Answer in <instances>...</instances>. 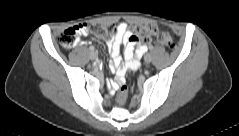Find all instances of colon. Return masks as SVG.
<instances>
[{"label":"colon","mask_w":239,"mask_h":136,"mask_svg":"<svg viewBox=\"0 0 239 136\" xmlns=\"http://www.w3.org/2000/svg\"><path fill=\"white\" fill-rule=\"evenodd\" d=\"M115 32L113 24H78L63 31L59 41L63 47L70 48L77 44L82 35L91 34L99 38H111ZM134 40L151 42L156 41L169 49L175 48L174 38L167 32L161 31L152 25H143L135 29ZM119 93L117 102L122 103L127 96V88L121 80H119Z\"/></svg>","instance_id":"obj_1"}]
</instances>
